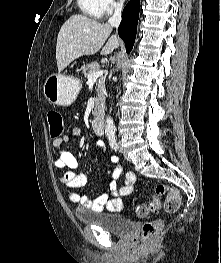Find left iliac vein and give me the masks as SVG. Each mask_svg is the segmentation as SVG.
Wrapping results in <instances>:
<instances>
[{
    "label": "left iliac vein",
    "instance_id": "obj_1",
    "mask_svg": "<svg viewBox=\"0 0 221 263\" xmlns=\"http://www.w3.org/2000/svg\"><path fill=\"white\" fill-rule=\"evenodd\" d=\"M119 151H120V152H122V148H121V145H120V143H119Z\"/></svg>",
    "mask_w": 221,
    "mask_h": 263
}]
</instances>
